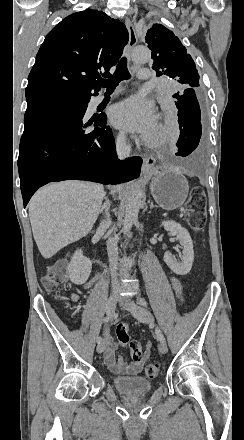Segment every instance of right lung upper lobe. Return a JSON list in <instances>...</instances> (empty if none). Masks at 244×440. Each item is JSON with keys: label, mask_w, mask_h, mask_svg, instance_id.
Segmentation results:
<instances>
[{"label": "right lung upper lobe", "mask_w": 244, "mask_h": 440, "mask_svg": "<svg viewBox=\"0 0 244 440\" xmlns=\"http://www.w3.org/2000/svg\"><path fill=\"white\" fill-rule=\"evenodd\" d=\"M128 31L102 11L85 10L57 24L42 43L28 76L26 99L73 97L89 99L100 90L96 79L122 55Z\"/></svg>", "instance_id": "cb5924a9"}]
</instances>
